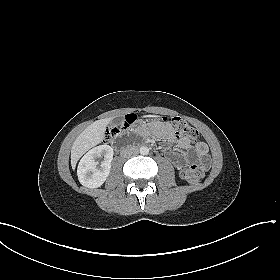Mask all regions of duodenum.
<instances>
[{"label":"duodenum","mask_w":280,"mask_h":280,"mask_svg":"<svg viewBox=\"0 0 280 280\" xmlns=\"http://www.w3.org/2000/svg\"><path fill=\"white\" fill-rule=\"evenodd\" d=\"M115 147H116L117 149H121V148H123V144H122L121 142H117L116 145H115Z\"/></svg>","instance_id":"1"}]
</instances>
